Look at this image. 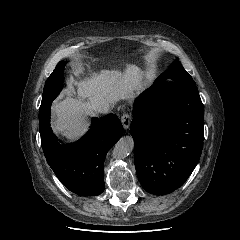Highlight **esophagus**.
<instances>
[{
    "label": "esophagus",
    "instance_id": "obj_1",
    "mask_svg": "<svg viewBox=\"0 0 240 240\" xmlns=\"http://www.w3.org/2000/svg\"><path fill=\"white\" fill-rule=\"evenodd\" d=\"M132 121V116L129 113H124L121 116V122L124 127V129H128Z\"/></svg>",
    "mask_w": 240,
    "mask_h": 240
}]
</instances>
